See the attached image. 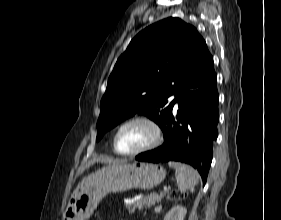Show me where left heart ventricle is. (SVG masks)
I'll use <instances>...</instances> for the list:
<instances>
[{
  "label": "left heart ventricle",
  "mask_w": 281,
  "mask_h": 220,
  "mask_svg": "<svg viewBox=\"0 0 281 220\" xmlns=\"http://www.w3.org/2000/svg\"><path fill=\"white\" fill-rule=\"evenodd\" d=\"M153 130L145 123H132L120 132L117 139V148L121 152L138 150L151 142Z\"/></svg>",
  "instance_id": "left-heart-ventricle-1"
}]
</instances>
